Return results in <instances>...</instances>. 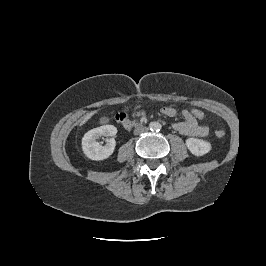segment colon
<instances>
[{
  "label": "colon",
  "mask_w": 266,
  "mask_h": 266,
  "mask_svg": "<svg viewBox=\"0 0 266 266\" xmlns=\"http://www.w3.org/2000/svg\"><path fill=\"white\" fill-rule=\"evenodd\" d=\"M189 112L196 120H203L206 117V114L204 113V111L196 107L191 108ZM215 135L218 138H222L225 135V131L217 130L215 131Z\"/></svg>",
  "instance_id": "1"
}]
</instances>
